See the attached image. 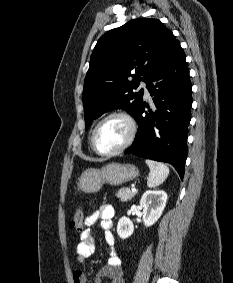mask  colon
<instances>
[{"mask_svg": "<svg viewBox=\"0 0 233 283\" xmlns=\"http://www.w3.org/2000/svg\"><path fill=\"white\" fill-rule=\"evenodd\" d=\"M85 222L84 213L81 209H77L70 222V228L73 230H81Z\"/></svg>", "mask_w": 233, "mask_h": 283, "instance_id": "1", "label": "colon"}]
</instances>
